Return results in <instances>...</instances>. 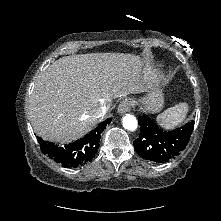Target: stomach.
Returning a JSON list of instances; mask_svg holds the SVG:
<instances>
[{
	"instance_id": "stomach-1",
	"label": "stomach",
	"mask_w": 221,
	"mask_h": 221,
	"mask_svg": "<svg viewBox=\"0 0 221 221\" xmlns=\"http://www.w3.org/2000/svg\"><path fill=\"white\" fill-rule=\"evenodd\" d=\"M144 109L150 113L159 112L164 103V98L161 89L155 88L151 90L147 96L142 99Z\"/></svg>"
}]
</instances>
